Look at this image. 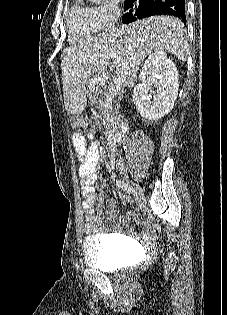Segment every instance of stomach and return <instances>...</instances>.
<instances>
[{"mask_svg":"<svg viewBox=\"0 0 227 315\" xmlns=\"http://www.w3.org/2000/svg\"><path fill=\"white\" fill-rule=\"evenodd\" d=\"M84 85L86 86L87 93L90 95V98L93 101H96V99H97V92H93V86L91 85V82L89 80H86L84 82Z\"/></svg>","mask_w":227,"mask_h":315,"instance_id":"stomach-1","label":"stomach"}]
</instances>
